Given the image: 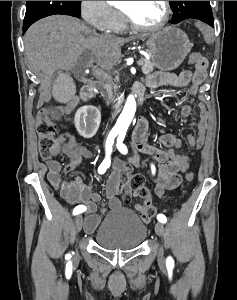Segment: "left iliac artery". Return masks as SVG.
Listing matches in <instances>:
<instances>
[{"label":"left iliac artery","mask_w":237,"mask_h":300,"mask_svg":"<svg viewBox=\"0 0 237 300\" xmlns=\"http://www.w3.org/2000/svg\"><path fill=\"white\" fill-rule=\"evenodd\" d=\"M125 135H126V132H121V133H119V136L117 138V145L116 146L122 154H127V152H128L126 145L123 144V140L125 138ZM151 170H152V173L154 174L155 173V166L154 165H151ZM157 219L161 223H166V221H167L166 216L163 215V214H159L157 216ZM166 266H167V268L174 267V260L172 259V257L169 256L167 258Z\"/></svg>","instance_id":"left-iliac-artery-1"}]
</instances>
